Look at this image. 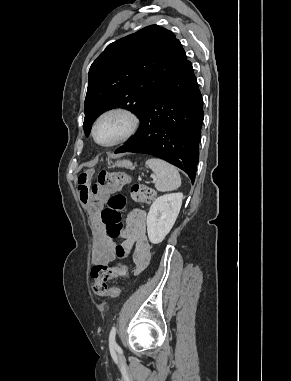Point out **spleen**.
I'll return each mask as SVG.
<instances>
[{
  "instance_id": "spleen-1",
  "label": "spleen",
  "mask_w": 291,
  "mask_h": 381,
  "mask_svg": "<svg viewBox=\"0 0 291 381\" xmlns=\"http://www.w3.org/2000/svg\"><path fill=\"white\" fill-rule=\"evenodd\" d=\"M146 165L155 173V188L160 192L176 190L181 185L178 170L171 164L157 158H150Z\"/></svg>"
}]
</instances>
